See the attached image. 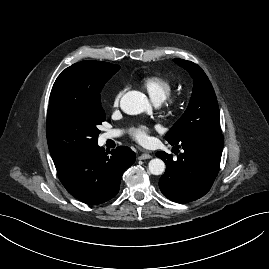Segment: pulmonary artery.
I'll return each mask as SVG.
<instances>
[{
    "label": "pulmonary artery",
    "instance_id": "e3ab8cb5",
    "mask_svg": "<svg viewBox=\"0 0 269 269\" xmlns=\"http://www.w3.org/2000/svg\"><path fill=\"white\" fill-rule=\"evenodd\" d=\"M121 132L119 130H111V131H107L105 134H104V139L107 140V139H113V138H116L118 136H120Z\"/></svg>",
    "mask_w": 269,
    "mask_h": 269
}]
</instances>
